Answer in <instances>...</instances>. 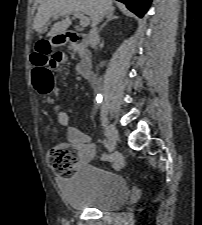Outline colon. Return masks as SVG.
Wrapping results in <instances>:
<instances>
[{
  "mask_svg": "<svg viewBox=\"0 0 202 225\" xmlns=\"http://www.w3.org/2000/svg\"><path fill=\"white\" fill-rule=\"evenodd\" d=\"M63 52H52L47 43H41L34 54V69L32 72L33 85L38 93L49 94L53 89L52 69L59 68L64 62ZM77 149L68 144L66 146L55 145L47 152V161L52 170L60 177L71 176L77 168ZM107 160L115 170L124 166V158L119 153H113Z\"/></svg>",
  "mask_w": 202,
  "mask_h": 225,
  "instance_id": "colon-1",
  "label": "colon"
}]
</instances>
